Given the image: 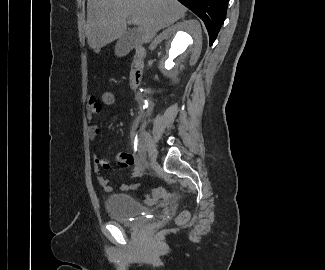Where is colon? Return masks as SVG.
Wrapping results in <instances>:
<instances>
[{"instance_id": "obj_1", "label": "colon", "mask_w": 325, "mask_h": 270, "mask_svg": "<svg viewBox=\"0 0 325 270\" xmlns=\"http://www.w3.org/2000/svg\"><path fill=\"white\" fill-rule=\"evenodd\" d=\"M115 94L112 91H104L101 95V102L104 106H112L115 103ZM170 195V193L162 188L158 187L155 188L150 194L147 195V200L150 202L156 201L162 198H167ZM189 219V213L187 211L182 212L178 218L177 223L178 224H184Z\"/></svg>"}]
</instances>
